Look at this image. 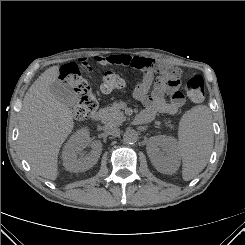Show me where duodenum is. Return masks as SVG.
<instances>
[{"label": "duodenum", "mask_w": 245, "mask_h": 245, "mask_svg": "<svg viewBox=\"0 0 245 245\" xmlns=\"http://www.w3.org/2000/svg\"><path fill=\"white\" fill-rule=\"evenodd\" d=\"M91 119L94 121L100 120L101 119V113L98 111L93 112L91 115ZM134 122L136 124H143V123L149 122V118L146 117L145 115L139 114L135 117Z\"/></svg>", "instance_id": "obj_1"}]
</instances>
